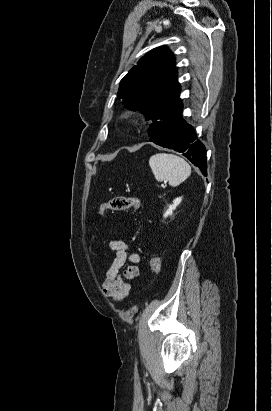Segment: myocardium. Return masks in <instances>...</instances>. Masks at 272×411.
I'll return each mask as SVG.
<instances>
[{
    "instance_id": "f54148a6",
    "label": "myocardium",
    "mask_w": 272,
    "mask_h": 411,
    "mask_svg": "<svg viewBox=\"0 0 272 411\" xmlns=\"http://www.w3.org/2000/svg\"><path fill=\"white\" fill-rule=\"evenodd\" d=\"M128 121H129V123H131V124H133V125H136V124L138 123V118H137L136 115L130 114V115L128 116Z\"/></svg>"
}]
</instances>
